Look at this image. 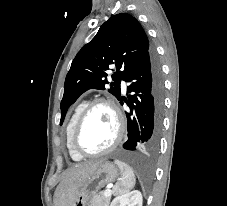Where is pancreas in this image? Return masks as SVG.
<instances>
[{
  "label": "pancreas",
  "mask_w": 227,
  "mask_h": 206,
  "mask_svg": "<svg viewBox=\"0 0 227 206\" xmlns=\"http://www.w3.org/2000/svg\"><path fill=\"white\" fill-rule=\"evenodd\" d=\"M105 191L96 193L90 200L88 206H109L111 195L105 196Z\"/></svg>",
  "instance_id": "obj_1"
}]
</instances>
